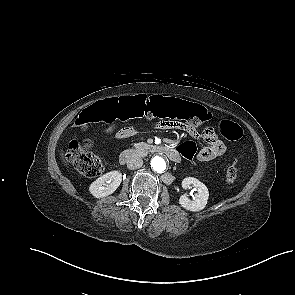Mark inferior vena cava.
I'll return each mask as SVG.
<instances>
[{"instance_id":"1","label":"inferior vena cava","mask_w":295,"mask_h":295,"mask_svg":"<svg viewBox=\"0 0 295 295\" xmlns=\"http://www.w3.org/2000/svg\"><path fill=\"white\" fill-rule=\"evenodd\" d=\"M143 165V160L139 157H131L127 161V168L130 170L138 169L142 167Z\"/></svg>"}]
</instances>
